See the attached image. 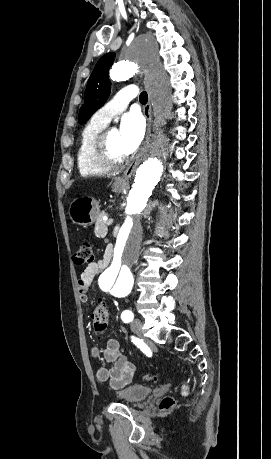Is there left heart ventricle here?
Instances as JSON below:
<instances>
[{
    "label": "left heart ventricle",
    "instance_id": "obj_1",
    "mask_svg": "<svg viewBox=\"0 0 271 459\" xmlns=\"http://www.w3.org/2000/svg\"><path fill=\"white\" fill-rule=\"evenodd\" d=\"M109 145L116 153H126L119 129L113 128L111 130L109 134Z\"/></svg>",
    "mask_w": 271,
    "mask_h": 459
}]
</instances>
